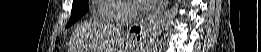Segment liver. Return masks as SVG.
<instances>
[{
  "label": "liver",
  "instance_id": "liver-1",
  "mask_svg": "<svg viewBox=\"0 0 261 52\" xmlns=\"http://www.w3.org/2000/svg\"><path fill=\"white\" fill-rule=\"evenodd\" d=\"M84 29H85L83 31V36L85 39L84 47L86 48V50H89L87 52H108L103 50H108V48L106 49L105 46H107L108 44L107 42L110 37L111 40L114 41L118 40L121 44L124 41V38H122L123 33L121 32L120 28L114 27L110 23H106V22L88 23L84 26ZM123 50H127L123 52H128V50H130L129 44ZM117 52H122V51H117Z\"/></svg>",
  "mask_w": 261,
  "mask_h": 52
}]
</instances>
